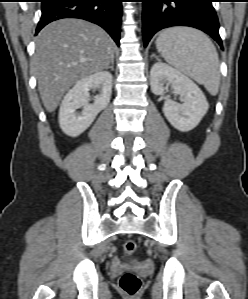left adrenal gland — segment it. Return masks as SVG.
Returning a JSON list of instances; mask_svg holds the SVG:
<instances>
[{"instance_id":"left-adrenal-gland-1","label":"left adrenal gland","mask_w":248,"mask_h":299,"mask_svg":"<svg viewBox=\"0 0 248 299\" xmlns=\"http://www.w3.org/2000/svg\"><path fill=\"white\" fill-rule=\"evenodd\" d=\"M151 57H155L157 60H159L155 54H152Z\"/></svg>"}]
</instances>
